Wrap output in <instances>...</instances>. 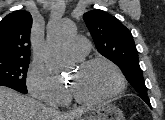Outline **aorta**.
Returning <instances> with one entry per match:
<instances>
[{"instance_id":"1","label":"aorta","mask_w":165,"mask_h":120,"mask_svg":"<svg viewBox=\"0 0 165 120\" xmlns=\"http://www.w3.org/2000/svg\"><path fill=\"white\" fill-rule=\"evenodd\" d=\"M73 34L74 24L70 20H52L48 25L44 55L49 68L55 73L67 68V63L59 54V49L65 40Z\"/></svg>"}]
</instances>
